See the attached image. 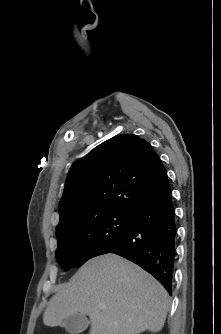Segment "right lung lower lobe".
I'll list each match as a JSON object with an SVG mask.
<instances>
[{"instance_id":"obj_1","label":"right lung lower lobe","mask_w":221,"mask_h":334,"mask_svg":"<svg viewBox=\"0 0 221 334\" xmlns=\"http://www.w3.org/2000/svg\"><path fill=\"white\" fill-rule=\"evenodd\" d=\"M177 227L168 180L132 213L114 253L151 273L171 294ZM101 254V255H102Z\"/></svg>"}]
</instances>
